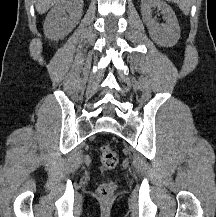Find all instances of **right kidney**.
<instances>
[{"label":"right kidney","instance_id":"obj_1","mask_svg":"<svg viewBox=\"0 0 216 217\" xmlns=\"http://www.w3.org/2000/svg\"><path fill=\"white\" fill-rule=\"evenodd\" d=\"M83 0H59L48 13L44 33L51 40H59L69 34L82 17Z\"/></svg>","mask_w":216,"mask_h":217}]
</instances>
